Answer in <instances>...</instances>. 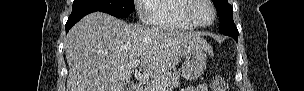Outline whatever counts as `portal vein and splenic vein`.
Returning <instances> with one entry per match:
<instances>
[{"instance_id": "18ae733b", "label": "portal vein and splenic vein", "mask_w": 304, "mask_h": 91, "mask_svg": "<svg viewBox=\"0 0 304 91\" xmlns=\"http://www.w3.org/2000/svg\"><path fill=\"white\" fill-rule=\"evenodd\" d=\"M139 64H140V60L135 59L130 63V67L134 69V68H137L139 66ZM158 90L159 91H165L166 87L164 86V84H161V85L158 86Z\"/></svg>"}]
</instances>
